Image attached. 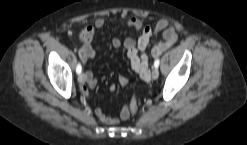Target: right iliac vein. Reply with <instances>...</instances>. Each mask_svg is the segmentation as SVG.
Returning a JSON list of instances; mask_svg holds the SVG:
<instances>
[{"mask_svg": "<svg viewBox=\"0 0 247 145\" xmlns=\"http://www.w3.org/2000/svg\"><path fill=\"white\" fill-rule=\"evenodd\" d=\"M78 81H79V83H81V84L85 83V81H86V76H85L84 73L79 74V76H78Z\"/></svg>", "mask_w": 247, "mask_h": 145, "instance_id": "right-iliac-vein-1", "label": "right iliac vein"}]
</instances>
